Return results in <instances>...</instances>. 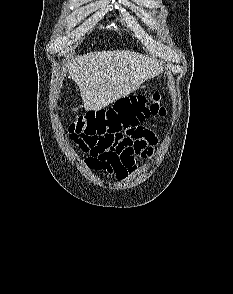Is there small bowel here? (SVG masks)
I'll list each match as a JSON object with an SVG mask.
<instances>
[{
    "instance_id": "c3829d8e",
    "label": "small bowel",
    "mask_w": 233,
    "mask_h": 294,
    "mask_svg": "<svg viewBox=\"0 0 233 294\" xmlns=\"http://www.w3.org/2000/svg\"><path fill=\"white\" fill-rule=\"evenodd\" d=\"M133 131L137 132H125V137L135 138L123 149H107L104 153L90 155L85 164L92 170L114 175L119 180L126 178L136 169V156L150 155L157 142L155 134L146 129V126H133ZM137 142L141 144H136Z\"/></svg>"
}]
</instances>
